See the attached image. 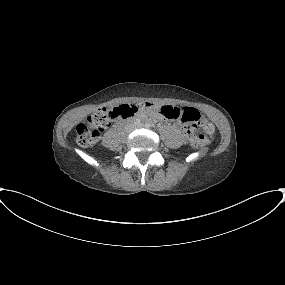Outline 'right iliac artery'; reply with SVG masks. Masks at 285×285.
Masks as SVG:
<instances>
[{
    "label": "right iliac artery",
    "mask_w": 285,
    "mask_h": 285,
    "mask_svg": "<svg viewBox=\"0 0 285 285\" xmlns=\"http://www.w3.org/2000/svg\"><path fill=\"white\" fill-rule=\"evenodd\" d=\"M139 123H140V121L135 122V124H139Z\"/></svg>",
    "instance_id": "obj_1"
}]
</instances>
